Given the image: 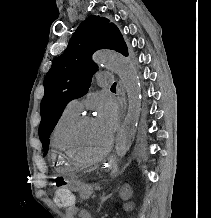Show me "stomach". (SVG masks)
<instances>
[{"label":"stomach","instance_id":"0dacf381","mask_svg":"<svg viewBox=\"0 0 211 218\" xmlns=\"http://www.w3.org/2000/svg\"><path fill=\"white\" fill-rule=\"evenodd\" d=\"M67 187L72 191H80L83 187V182L78 180L76 175H69L65 178Z\"/></svg>","mask_w":211,"mask_h":218}]
</instances>
